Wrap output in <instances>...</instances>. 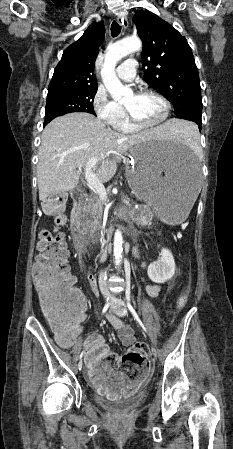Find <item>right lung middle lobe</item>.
<instances>
[{"label":"right lung middle lobe","instance_id":"dd1d6c3e","mask_svg":"<svg viewBox=\"0 0 233 449\" xmlns=\"http://www.w3.org/2000/svg\"><path fill=\"white\" fill-rule=\"evenodd\" d=\"M97 88L81 90H61L47 95L44 125L57 116L71 112H88L96 115L93 99Z\"/></svg>","mask_w":233,"mask_h":449}]
</instances>
